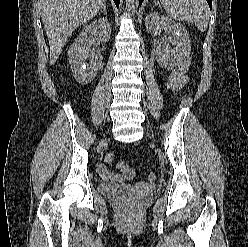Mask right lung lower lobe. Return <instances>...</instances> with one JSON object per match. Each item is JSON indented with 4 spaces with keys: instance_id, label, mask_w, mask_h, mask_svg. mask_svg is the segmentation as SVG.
<instances>
[{
    "instance_id": "1",
    "label": "right lung lower lobe",
    "mask_w": 248,
    "mask_h": 247,
    "mask_svg": "<svg viewBox=\"0 0 248 247\" xmlns=\"http://www.w3.org/2000/svg\"><path fill=\"white\" fill-rule=\"evenodd\" d=\"M116 6L118 7L119 6V3H120V0H114Z\"/></svg>"
}]
</instances>
